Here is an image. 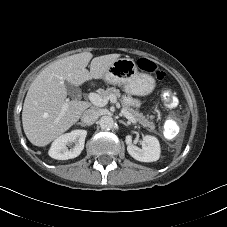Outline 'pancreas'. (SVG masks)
<instances>
[{"mask_svg": "<svg viewBox=\"0 0 227 227\" xmlns=\"http://www.w3.org/2000/svg\"><path fill=\"white\" fill-rule=\"evenodd\" d=\"M102 97H108L110 95L116 96V98H121V93L118 89L111 87L107 88L106 90H102L99 93ZM123 109L128 111L136 120V122L140 123L143 127L147 128L148 130L154 132L155 131V125L152 121V117L149 120V118L145 117L142 113H139L138 110H134L133 108L128 107L127 105H123Z\"/></svg>", "mask_w": 227, "mask_h": 227, "instance_id": "pancreas-1", "label": "pancreas"}]
</instances>
